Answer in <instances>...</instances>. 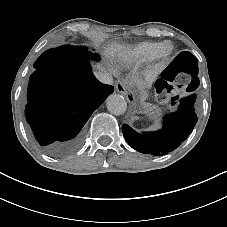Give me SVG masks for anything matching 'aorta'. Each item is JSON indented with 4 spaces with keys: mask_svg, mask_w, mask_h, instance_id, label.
<instances>
[{
    "mask_svg": "<svg viewBox=\"0 0 227 227\" xmlns=\"http://www.w3.org/2000/svg\"><path fill=\"white\" fill-rule=\"evenodd\" d=\"M106 107L110 113L114 115H121L125 113L127 103L123 96L115 93L107 98Z\"/></svg>",
    "mask_w": 227,
    "mask_h": 227,
    "instance_id": "762f6f07",
    "label": "aorta"
}]
</instances>
